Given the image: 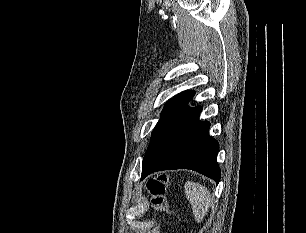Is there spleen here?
Here are the masks:
<instances>
[{
  "instance_id": "obj_1",
  "label": "spleen",
  "mask_w": 306,
  "mask_h": 233,
  "mask_svg": "<svg viewBox=\"0 0 306 233\" xmlns=\"http://www.w3.org/2000/svg\"><path fill=\"white\" fill-rule=\"evenodd\" d=\"M185 194L192 206L196 222L201 223L211 205V194L206 187L199 183L187 181L184 186Z\"/></svg>"
}]
</instances>
